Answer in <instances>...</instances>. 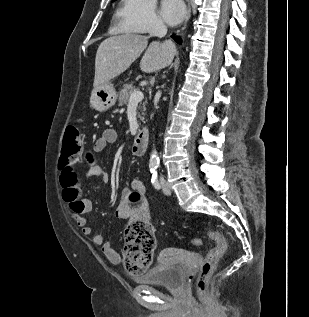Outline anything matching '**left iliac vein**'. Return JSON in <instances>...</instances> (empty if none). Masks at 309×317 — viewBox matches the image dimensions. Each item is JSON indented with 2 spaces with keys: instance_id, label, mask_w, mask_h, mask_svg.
<instances>
[{
  "instance_id": "4c4485c4",
  "label": "left iliac vein",
  "mask_w": 309,
  "mask_h": 317,
  "mask_svg": "<svg viewBox=\"0 0 309 317\" xmlns=\"http://www.w3.org/2000/svg\"><path fill=\"white\" fill-rule=\"evenodd\" d=\"M160 184L165 195H171V189L168 182L164 178H160Z\"/></svg>"
}]
</instances>
